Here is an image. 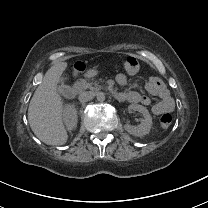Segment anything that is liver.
<instances>
[{"label": "liver", "instance_id": "1", "mask_svg": "<svg viewBox=\"0 0 208 208\" xmlns=\"http://www.w3.org/2000/svg\"><path fill=\"white\" fill-rule=\"evenodd\" d=\"M67 67V62L50 66L29 103V125L37 138L47 145L60 146L68 141L63 122L65 102L58 91Z\"/></svg>", "mask_w": 208, "mask_h": 208}]
</instances>
